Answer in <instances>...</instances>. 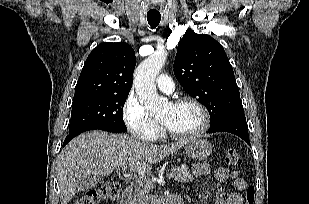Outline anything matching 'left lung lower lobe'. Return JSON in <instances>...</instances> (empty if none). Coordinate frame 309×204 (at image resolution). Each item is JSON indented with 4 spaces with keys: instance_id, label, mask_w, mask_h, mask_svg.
I'll return each mask as SVG.
<instances>
[{
    "instance_id": "1",
    "label": "left lung lower lobe",
    "mask_w": 309,
    "mask_h": 204,
    "mask_svg": "<svg viewBox=\"0 0 309 204\" xmlns=\"http://www.w3.org/2000/svg\"><path fill=\"white\" fill-rule=\"evenodd\" d=\"M229 132L241 137L250 145L244 112L227 115L211 125L208 133Z\"/></svg>"
}]
</instances>
